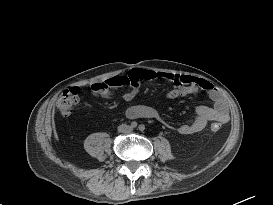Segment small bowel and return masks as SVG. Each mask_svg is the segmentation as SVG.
<instances>
[{
	"label": "small bowel",
	"instance_id": "obj_1",
	"mask_svg": "<svg viewBox=\"0 0 273 205\" xmlns=\"http://www.w3.org/2000/svg\"><path fill=\"white\" fill-rule=\"evenodd\" d=\"M133 79L146 81L163 79L172 83L174 85L173 88L165 94V98L169 100L195 94L199 91L207 92L213 101V106L201 105L197 107L195 119L191 123L183 124L177 128L181 134L202 131L210 121L226 123L229 119L228 105L222 92L211 82L191 75L138 69L130 71L128 75H117L96 82L91 86V89L98 97H111L117 89L129 87L123 94V99L131 102L138 94V88L131 84ZM127 115L131 118H156L163 120L158 111L148 104L130 107ZM164 123L171 127L165 121Z\"/></svg>",
	"mask_w": 273,
	"mask_h": 205
}]
</instances>
